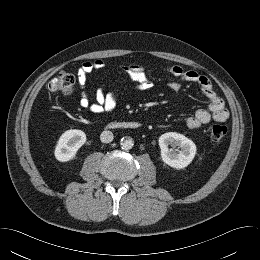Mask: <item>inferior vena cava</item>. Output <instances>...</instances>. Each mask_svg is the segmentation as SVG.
I'll return each mask as SVG.
<instances>
[{
    "label": "inferior vena cava",
    "mask_w": 260,
    "mask_h": 260,
    "mask_svg": "<svg viewBox=\"0 0 260 260\" xmlns=\"http://www.w3.org/2000/svg\"><path fill=\"white\" fill-rule=\"evenodd\" d=\"M113 133L111 131H103L100 135V140L103 143H110L113 140Z\"/></svg>",
    "instance_id": "inferior-vena-cava-1"
}]
</instances>
